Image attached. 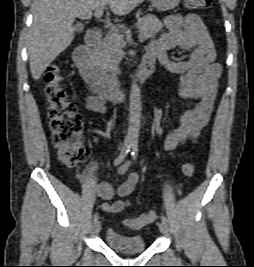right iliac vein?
<instances>
[{"mask_svg":"<svg viewBox=\"0 0 254 267\" xmlns=\"http://www.w3.org/2000/svg\"><path fill=\"white\" fill-rule=\"evenodd\" d=\"M101 230V223L100 221H95L92 226V231L94 234H98Z\"/></svg>","mask_w":254,"mask_h":267,"instance_id":"1","label":"right iliac vein"}]
</instances>
